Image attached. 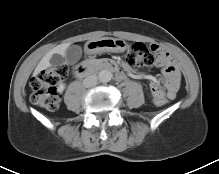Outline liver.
<instances>
[{"label":"liver","mask_w":219,"mask_h":174,"mask_svg":"<svg viewBox=\"0 0 219 174\" xmlns=\"http://www.w3.org/2000/svg\"><path fill=\"white\" fill-rule=\"evenodd\" d=\"M69 47V44H61L56 46L55 48H53L51 51H49L39 62V64L37 65L35 71H34V75L39 74L42 70L50 67V58L52 57L53 54H61V55H65L66 49Z\"/></svg>","instance_id":"1"}]
</instances>
